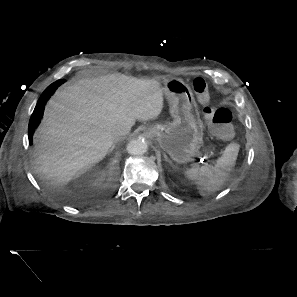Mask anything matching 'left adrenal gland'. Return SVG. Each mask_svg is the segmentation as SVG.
<instances>
[{
    "label": "left adrenal gland",
    "mask_w": 297,
    "mask_h": 297,
    "mask_svg": "<svg viewBox=\"0 0 297 297\" xmlns=\"http://www.w3.org/2000/svg\"><path fill=\"white\" fill-rule=\"evenodd\" d=\"M165 159H166V161L167 162H169V164L173 167V168H175V166L172 164V162L170 161V160H168V158L165 156Z\"/></svg>",
    "instance_id": "obj_1"
}]
</instances>
